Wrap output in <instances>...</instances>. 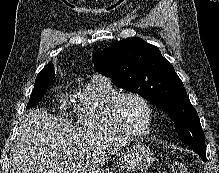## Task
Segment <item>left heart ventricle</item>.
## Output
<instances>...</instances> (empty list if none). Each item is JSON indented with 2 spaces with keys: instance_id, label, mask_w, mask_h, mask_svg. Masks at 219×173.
Masks as SVG:
<instances>
[{
  "instance_id": "obj_1",
  "label": "left heart ventricle",
  "mask_w": 219,
  "mask_h": 173,
  "mask_svg": "<svg viewBox=\"0 0 219 173\" xmlns=\"http://www.w3.org/2000/svg\"><path fill=\"white\" fill-rule=\"evenodd\" d=\"M121 118L129 129L143 131L148 124L149 112L140 100L127 98L121 107Z\"/></svg>"
}]
</instances>
